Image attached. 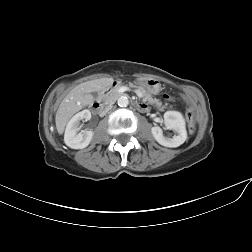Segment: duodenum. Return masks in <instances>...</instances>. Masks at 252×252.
<instances>
[{"mask_svg":"<svg viewBox=\"0 0 252 252\" xmlns=\"http://www.w3.org/2000/svg\"><path fill=\"white\" fill-rule=\"evenodd\" d=\"M116 87V83H113L111 84L108 89H107V92L103 95V97H107L109 95V93ZM93 110L95 112H101L103 111V104H102V101L98 100V101H95L93 103ZM137 107L140 108V109H143V104L141 103H138L137 104Z\"/></svg>","mask_w":252,"mask_h":252,"instance_id":"obj_1","label":"duodenum"}]
</instances>
